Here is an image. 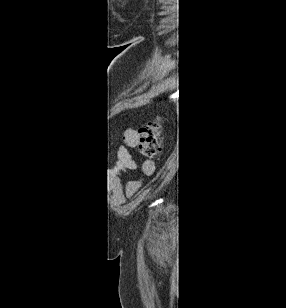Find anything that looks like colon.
<instances>
[{
  "label": "colon",
  "instance_id": "colon-1",
  "mask_svg": "<svg viewBox=\"0 0 286 308\" xmlns=\"http://www.w3.org/2000/svg\"><path fill=\"white\" fill-rule=\"evenodd\" d=\"M161 141V123L159 120H153L141 130L139 150L144 156L152 157L159 150Z\"/></svg>",
  "mask_w": 286,
  "mask_h": 308
}]
</instances>
